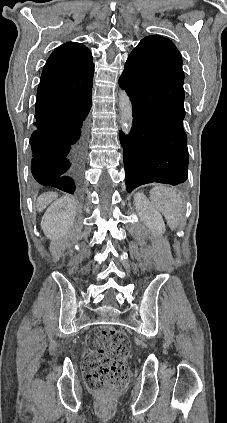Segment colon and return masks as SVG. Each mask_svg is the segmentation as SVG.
I'll return each instance as SVG.
<instances>
[{
	"label": "colon",
	"instance_id": "colon-1",
	"mask_svg": "<svg viewBox=\"0 0 227 423\" xmlns=\"http://www.w3.org/2000/svg\"><path fill=\"white\" fill-rule=\"evenodd\" d=\"M86 344L89 350L84 362L86 386L104 395L122 391L129 378V338L113 327L100 326L88 334Z\"/></svg>",
	"mask_w": 227,
	"mask_h": 423
}]
</instances>
